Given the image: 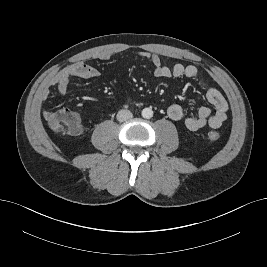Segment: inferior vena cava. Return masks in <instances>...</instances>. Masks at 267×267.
<instances>
[{
	"label": "inferior vena cava",
	"mask_w": 267,
	"mask_h": 267,
	"mask_svg": "<svg viewBox=\"0 0 267 267\" xmlns=\"http://www.w3.org/2000/svg\"><path fill=\"white\" fill-rule=\"evenodd\" d=\"M133 117L132 113L129 110L122 109L117 113V120L119 122H124Z\"/></svg>",
	"instance_id": "1"
}]
</instances>
